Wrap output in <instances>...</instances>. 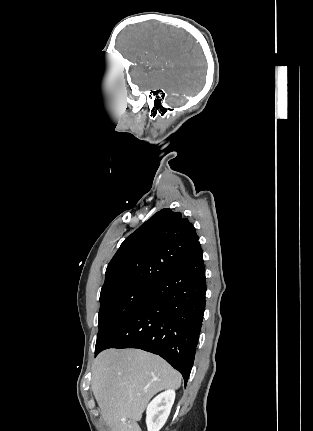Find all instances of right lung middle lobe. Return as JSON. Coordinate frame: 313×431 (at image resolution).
<instances>
[{
  "label": "right lung middle lobe",
  "mask_w": 313,
  "mask_h": 431,
  "mask_svg": "<svg viewBox=\"0 0 313 431\" xmlns=\"http://www.w3.org/2000/svg\"><path fill=\"white\" fill-rule=\"evenodd\" d=\"M155 287L133 288L100 296L99 332L95 352L99 350Z\"/></svg>",
  "instance_id": "dd1d6c3e"
}]
</instances>
